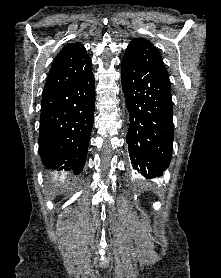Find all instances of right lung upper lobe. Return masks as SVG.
Returning <instances> with one entry per match:
<instances>
[{
    "mask_svg": "<svg viewBox=\"0 0 221 278\" xmlns=\"http://www.w3.org/2000/svg\"><path fill=\"white\" fill-rule=\"evenodd\" d=\"M92 73V62L82 44L65 46L55 57L44 91L77 82Z\"/></svg>",
    "mask_w": 221,
    "mask_h": 278,
    "instance_id": "cb5924a9",
    "label": "right lung upper lobe"
}]
</instances>
